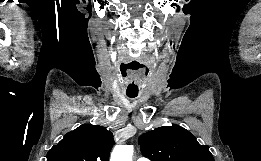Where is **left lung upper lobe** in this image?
<instances>
[{"mask_svg": "<svg viewBox=\"0 0 261 161\" xmlns=\"http://www.w3.org/2000/svg\"><path fill=\"white\" fill-rule=\"evenodd\" d=\"M144 156L151 161H214L207 145L178 125L163 126L139 137Z\"/></svg>", "mask_w": 261, "mask_h": 161, "instance_id": "left-lung-upper-lobe-1", "label": "left lung upper lobe"}]
</instances>
